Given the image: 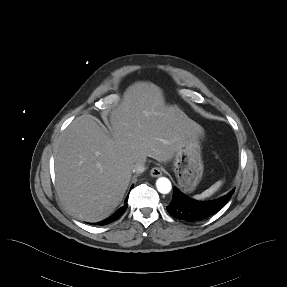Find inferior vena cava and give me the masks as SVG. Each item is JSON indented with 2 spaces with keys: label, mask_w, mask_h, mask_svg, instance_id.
Here are the masks:
<instances>
[{
  "label": "inferior vena cava",
  "mask_w": 287,
  "mask_h": 287,
  "mask_svg": "<svg viewBox=\"0 0 287 287\" xmlns=\"http://www.w3.org/2000/svg\"><path fill=\"white\" fill-rule=\"evenodd\" d=\"M146 167H145V161L143 162H137L132 166V171L133 173H143L145 171Z\"/></svg>",
  "instance_id": "602c4592"
}]
</instances>
